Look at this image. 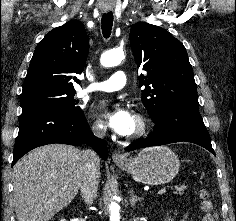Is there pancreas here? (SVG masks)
Listing matches in <instances>:
<instances>
[{"label":"pancreas","instance_id":"1","mask_svg":"<svg viewBox=\"0 0 236 221\" xmlns=\"http://www.w3.org/2000/svg\"><path fill=\"white\" fill-rule=\"evenodd\" d=\"M184 189H185V186L183 185V186H181V187H176V193H179V194H182L183 193V191H184Z\"/></svg>","mask_w":236,"mask_h":221}]
</instances>
